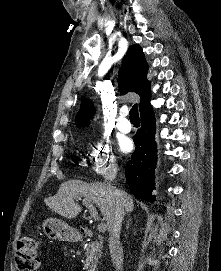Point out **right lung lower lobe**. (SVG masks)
Wrapping results in <instances>:
<instances>
[{
  "instance_id": "1",
  "label": "right lung lower lobe",
  "mask_w": 221,
  "mask_h": 271,
  "mask_svg": "<svg viewBox=\"0 0 221 271\" xmlns=\"http://www.w3.org/2000/svg\"><path fill=\"white\" fill-rule=\"evenodd\" d=\"M141 128L134 137L136 145L131 161L126 165V180L130 189L140 199L153 202L155 196L154 168L157 162L155 116L152 107L140 114Z\"/></svg>"
}]
</instances>
